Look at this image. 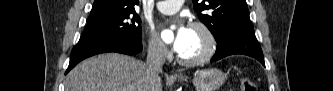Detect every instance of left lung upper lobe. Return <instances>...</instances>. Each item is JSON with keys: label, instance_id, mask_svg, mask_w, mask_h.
I'll return each mask as SVG.
<instances>
[{"label": "left lung upper lobe", "instance_id": "left-lung-upper-lobe-1", "mask_svg": "<svg viewBox=\"0 0 333 91\" xmlns=\"http://www.w3.org/2000/svg\"><path fill=\"white\" fill-rule=\"evenodd\" d=\"M199 19L208 27L216 41L229 30L252 25L246 0H192Z\"/></svg>", "mask_w": 333, "mask_h": 91}]
</instances>
